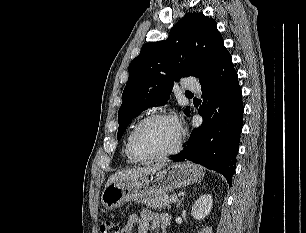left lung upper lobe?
<instances>
[{"instance_id":"5c2ea615","label":"left lung upper lobe","mask_w":306,"mask_h":233,"mask_svg":"<svg viewBox=\"0 0 306 233\" xmlns=\"http://www.w3.org/2000/svg\"><path fill=\"white\" fill-rule=\"evenodd\" d=\"M226 52L216 22L203 13H187L167 40L145 45L129 65V79L118 112V140L135 116L169 100L174 81L195 76L201 82Z\"/></svg>"}]
</instances>
